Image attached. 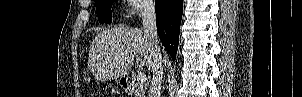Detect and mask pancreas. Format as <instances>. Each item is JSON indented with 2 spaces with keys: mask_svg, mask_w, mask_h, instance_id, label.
I'll use <instances>...</instances> for the list:
<instances>
[{
  "mask_svg": "<svg viewBox=\"0 0 302 97\" xmlns=\"http://www.w3.org/2000/svg\"><path fill=\"white\" fill-rule=\"evenodd\" d=\"M134 97H143L141 86L139 85L134 86Z\"/></svg>",
  "mask_w": 302,
  "mask_h": 97,
  "instance_id": "obj_1",
  "label": "pancreas"
}]
</instances>
